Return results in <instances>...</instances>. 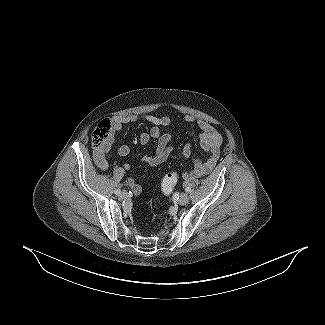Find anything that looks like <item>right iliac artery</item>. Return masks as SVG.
<instances>
[{
    "instance_id": "1",
    "label": "right iliac artery",
    "mask_w": 325,
    "mask_h": 325,
    "mask_svg": "<svg viewBox=\"0 0 325 325\" xmlns=\"http://www.w3.org/2000/svg\"><path fill=\"white\" fill-rule=\"evenodd\" d=\"M116 195H119L120 193H121V190L120 189H117V190H115V192H114Z\"/></svg>"
}]
</instances>
